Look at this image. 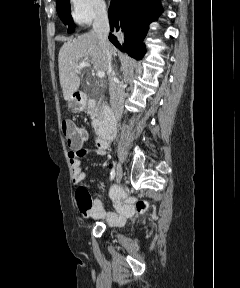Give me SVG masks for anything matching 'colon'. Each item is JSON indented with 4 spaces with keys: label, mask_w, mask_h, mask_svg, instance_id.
Returning a JSON list of instances; mask_svg holds the SVG:
<instances>
[{
    "label": "colon",
    "mask_w": 240,
    "mask_h": 288,
    "mask_svg": "<svg viewBox=\"0 0 240 288\" xmlns=\"http://www.w3.org/2000/svg\"><path fill=\"white\" fill-rule=\"evenodd\" d=\"M62 130L69 146L82 145L86 139L85 133L79 129L72 121H63Z\"/></svg>",
    "instance_id": "obj_1"
}]
</instances>
